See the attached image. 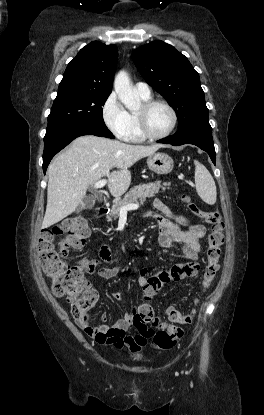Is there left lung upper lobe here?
Masks as SVG:
<instances>
[{
  "mask_svg": "<svg viewBox=\"0 0 264 415\" xmlns=\"http://www.w3.org/2000/svg\"><path fill=\"white\" fill-rule=\"evenodd\" d=\"M132 59L146 82L174 108L178 128L208 117L199 74L173 46L154 41L134 50Z\"/></svg>",
  "mask_w": 264,
  "mask_h": 415,
  "instance_id": "1",
  "label": "left lung upper lobe"
}]
</instances>
